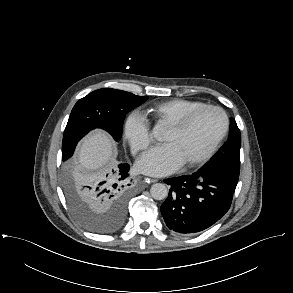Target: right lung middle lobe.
Masks as SVG:
<instances>
[{
  "label": "right lung middle lobe",
  "instance_id": "right-lung-middle-lobe-1",
  "mask_svg": "<svg viewBox=\"0 0 293 293\" xmlns=\"http://www.w3.org/2000/svg\"><path fill=\"white\" fill-rule=\"evenodd\" d=\"M148 96L111 88L99 89L80 99L73 107L63 135L62 159L66 161L74 152L77 142L89 131L101 128L109 132L115 141L122 136L123 121L128 112L141 105ZM93 176L81 175L64 167L63 184L69 206L77 218L89 230L105 233L117 228L122 219L99 213L89 208L81 196L82 184L93 181Z\"/></svg>",
  "mask_w": 293,
  "mask_h": 293
}]
</instances>
